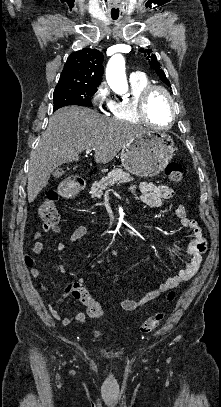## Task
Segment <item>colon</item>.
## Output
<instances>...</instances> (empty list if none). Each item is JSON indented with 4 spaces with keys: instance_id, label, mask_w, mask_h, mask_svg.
Segmentation results:
<instances>
[{
    "instance_id": "colon-1",
    "label": "colon",
    "mask_w": 221,
    "mask_h": 407,
    "mask_svg": "<svg viewBox=\"0 0 221 407\" xmlns=\"http://www.w3.org/2000/svg\"><path fill=\"white\" fill-rule=\"evenodd\" d=\"M165 174L172 182H180L183 179V168L178 162H169L165 167ZM58 195L54 191L45 193V199L39 208V216L42 221V230L45 233H57L59 231L60 215L56 205ZM72 290L80 302L86 306L87 313L91 317H101L104 311L101 305L94 301L84 284L76 281ZM174 292L169 291L167 295L168 301H173ZM165 319V312H158L149 317L139 327L142 333H150L156 329L159 324Z\"/></svg>"
}]
</instances>
